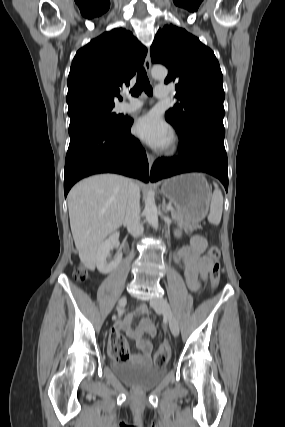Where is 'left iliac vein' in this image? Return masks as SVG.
Here are the masks:
<instances>
[{"mask_svg":"<svg viewBox=\"0 0 285 427\" xmlns=\"http://www.w3.org/2000/svg\"><path fill=\"white\" fill-rule=\"evenodd\" d=\"M151 306L161 313L167 318L169 322V327L174 336H178L179 334V324L177 322L176 317L174 316L170 305L163 297H157L150 301Z\"/></svg>","mask_w":285,"mask_h":427,"instance_id":"4c4485c4","label":"left iliac vein"}]
</instances>
